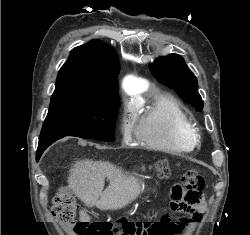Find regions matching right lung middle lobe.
Here are the masks:
<instances>
[{
  "label": "right lung middle lobe",
  "instance_id": "1",
  "mask_svg": "<svg viewBox=\"0 0 250 235\" xmlns=\"http://www.w3.org/2000/svg\"><path fill=\"white\" fill-rule=\"evenodd\" d=\"M118 107L117 93L51 98L39 139L76 136L112 142Z\"/></svg>",
  "mask_w": 250,
  "mask_h": 235
}]
</instances>
